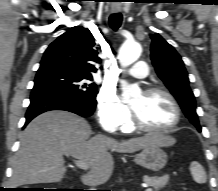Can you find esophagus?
Wrapping results in <instances>:
<instances>
[{
    "mask_svg": "<svg viewBox=\"0 0 218 191\" xmlns=\"http://www.w3.org/2000/svg\"><path fill=\"white\" fill-rule=\"evenodd\" d=\"M120 10H121V9H120L119 7H113V8H112V12H113V13H118V12H120Z\"/></svg>",
    "mask_w": 218,
    "mask_h": 191,
    "instance_id": "1",
    "label": "esophagus"
}]
</instances>
